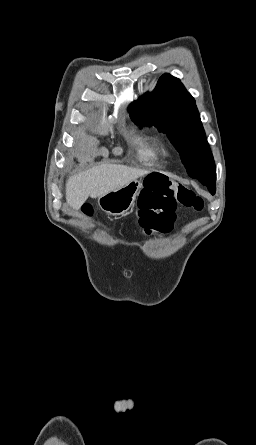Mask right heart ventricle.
<instances>
[{"label": "right heart ventricle", "mask_w": 256, "mask_h": 445, "mask_svg": "<svg viewBox=\"0 0 256 445\" xmlns=\"http://www.w3.org/2000/svg\"><path fill=\"white\" fill-rule=\"evenodd\" d=\"M133 142L136 146L137 155L150 164H156L160 159L159 147L151 138L142 134H135Z\"/></svg>", "instance_id": "1"}]
</instances>
